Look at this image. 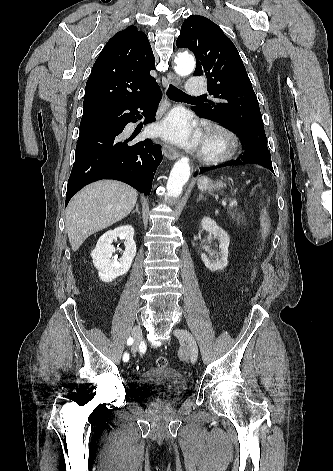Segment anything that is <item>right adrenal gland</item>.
Returning <instances> with one entry per match:
<instances>
[{
    "label": "right adrenal gland",
    "instance_id": "1",
    "mask_svg": "<svg viewBox=\"0 0 333 471\" xmlns=\"http://www.w3.org/2000/svg\"><path fill=\"white\" fill-rule=\"evenodd\" d=\"M134 212H137L138 214H140V211H139V204L137 203L136 204V209L132 211V213Z\"/></svg>",
    "mask_w": 333,
    "mask_h": 471
}]
</instances>
